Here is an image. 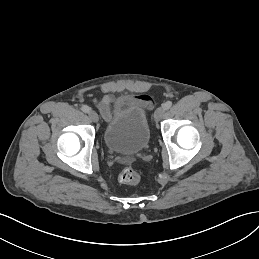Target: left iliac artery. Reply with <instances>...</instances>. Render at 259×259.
Returning <instances> with one entry per match:
<instances>
[{"label":"left iliac artery","mask_w":259,"mask_h":259,"mask_svg":"<svg viewBox=\"0 0 259 259\" xmlns=\"http://www.w3.org/2000/svg\"><path fill=\"white\" fill-rule=\"evenodd\" d=\"M172 106V102L171 101H166L164 104H163V107L165 110H168L170 109Z\"/></svg>","instance_id":"1"}]
</instances>
